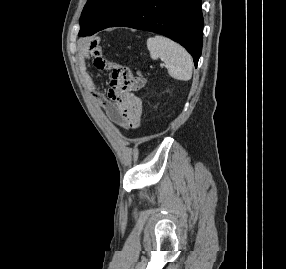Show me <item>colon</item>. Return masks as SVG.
Instances as JSON below:
<instances>
[{"label": "colon", "instance_id": "colon-1", "mask_svg": "<svg viewBox=\"0 0 286 269\" xmlns=\"http://www.w3.org/2000/svg\"><path fill=\"white\" fill-rule=\"evenodd\" d=\"M111 68V82L113 88L123 95V110H144V100H140L139 91H143L147 78H135L127 65L113 63Z\"/></svg>", "mask_w": 286, "mask_h": 269}]
</instances>
